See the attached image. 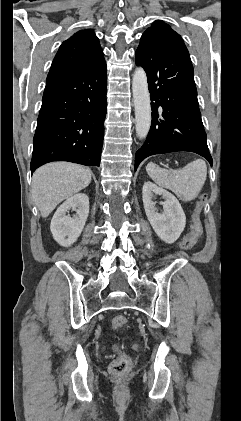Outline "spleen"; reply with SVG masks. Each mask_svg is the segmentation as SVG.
<instances>
[{
	"instance_id": "1",
	"label": "spleen",
	"mask_w": 241,
	"mask_h": 421,
	"mask_svg": "<svg viewBox=\"0 0 241 421\" xmlns=\"http://www.w3.org/2000/svg\"><path fill=\"white\" fill-rule=\"evenodd\" d=\"M146 171L157 185L172 191L185 202L198 196L207 176V166L202 159L194 160L178 170H165L150 162Z\"/></svg>"
}]
</instances>
